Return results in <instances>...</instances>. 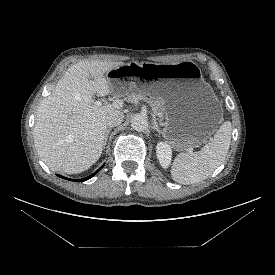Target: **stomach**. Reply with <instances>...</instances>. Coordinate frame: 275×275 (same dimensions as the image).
Instances as JSON below:
<instances>
[{"label":"stomach","mask_w":275,"mask_h":275,"mask_svg":"<svg viewBox=\"0 0 275 275\" xmlns=\"http://www.w3.org/2000/svg\"><path fill=\"white\" fill-rule=\"evenodd\" d=\"M106 78L117 94L136 90L163 100L162 135L177 151L199 147L222 122L221 104L193 61L130 62L108 71Z\"/></svg>","instance_id":"stomach-1"}]
</instances>
